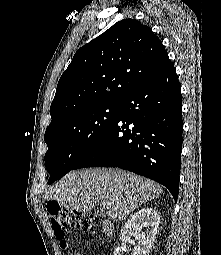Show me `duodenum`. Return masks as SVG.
<instances>
[{"label": "duodenum", "mask_w": 221, "mask_h": 255, "mask_svg": "<svg viewBox=\"0 0 221 255\" xmlns=\"http://www.w3.org/2000/svg\"><path fill=\"white\" fill-rule=\"evenodd\" d=\"M103 230L107 236H111L113 234V226L109 222L103 223Z\"/></svg>", "instance_id": "duodenum-1"}]
</instances>
